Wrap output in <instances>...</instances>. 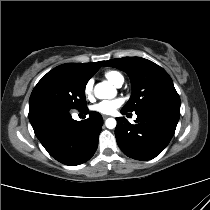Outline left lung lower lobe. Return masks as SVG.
Here are the masks:
<instances>
[{"label":"left lung lower lobe","mask_w":210,"mask_h":210,"mask_svg":"<svg viewBox=\"0 0 210 210\" xmlns=\"http://www.w3.org/2000/svg\"><path fill=\"white\" fill-rule=\"evenodd\" d=\"M125 115L127 111L121 110ZM136 124L118 117L115 136L122 152L136 160H150L170 142L180 117V109L152 106L135 112Z\"/></svg>","instance_id":"left-lung-lower-lobe-1"}]
</instances>
